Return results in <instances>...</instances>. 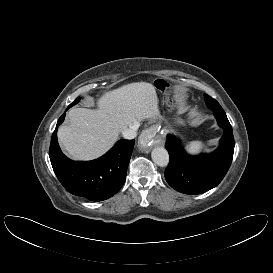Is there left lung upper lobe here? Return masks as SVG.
Returning a JSON list of instances; mask_svg holds the SVG:
<instances>
[{"label": "left lung upper lobe", "instance_id": "1", "mask_svg": "<svg viewBox=\"0 0 273 273\" xmlns=\"http://www.w3.org/2000/svg\"><path fill=\"white\" fill-rule=\"evenodd\" d=\"M204 99H205L206 105L213 112L224 113V110L222 109V107L220 106V104L215 99H213L212 97H210L207 94H204Z\"/></svg>", "mask_w": 273, "mask_h": 273}]
</instances>
